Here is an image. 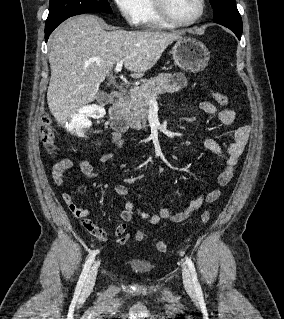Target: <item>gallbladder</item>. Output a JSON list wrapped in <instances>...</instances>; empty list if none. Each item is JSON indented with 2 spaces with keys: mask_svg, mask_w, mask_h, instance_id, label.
<instances>
[{
  "mask_svg": "<svg viewBox=\"0 0 284 319\" xmlns=\"http://www.w3.org/2000/svg\"><path fill=\"white\" fill-rule=\"evenodd\" d=\"M96 101L98 104L100 105H104L107 104L109 101V95L108 93L104 92V91H99L96 95Z\"/></svg>",
  "mask_w": 284,
  "mask_h": 319,
  "instance_id": "bac80fb5",
  "label": "gallbladder"
}]
</instances>
